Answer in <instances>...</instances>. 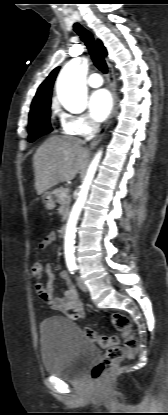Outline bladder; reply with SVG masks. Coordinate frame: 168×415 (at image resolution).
Segmentation results:
<instances>
[{
    "label": "bladder",
    "mask_w": 168,
    "mask_h": 415,
    "mask_svg": "<svg viewBox=\"0 0 168 415\" xmlns=\"http://www.w3.org/2000/svg\"><path fill=\"white\" fill-rule=\"evenodd\" d=\"M45 371L65 380H76L97 358L98 349L70 319L53 316L40 325Z\"/></svg>",
    "instance_id": "1"
}]
</instances>
